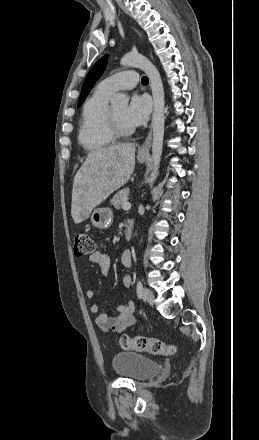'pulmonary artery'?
<instances>
[{"label":"pulmonary artery","instance_id":"obj_1","mask_svg":"<svg viewBox=\"0 0 259 440\" xmlns=\"http://www.w3.org/2000/svg\"><path fill=\"white\" fill-rule=\"evenodd\" d=\"M138 82L139 75L135 70H125L105 78L98 84L97 88L112 94L118 90L132 89Z\"/></svg>","mask_w":259,"mask_h":440}]
</instances>
